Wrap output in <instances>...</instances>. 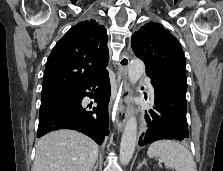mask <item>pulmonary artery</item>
<instances>
[{
	"instance_id": "e3ab8cb5",
	"label": "pulmonary artery",
	"mask_w": 223,
	"mask_h": 171,
	"mask_svg": "<svg viewBox=\"0 0 223 171\" xmlns=\"http://www.w3.org/2000/svg\"><path fill=\"white\" fill-rule=\"evenodd\" d=\"M147 84V88H148V92L150 94V96H154V88H153V85L150 83V82H146Z\"/></svg>"
}]
</instances>
